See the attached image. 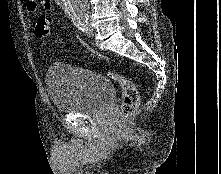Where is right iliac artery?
Here are the masks:
<instances>
[{"mask_svg":"<svg viewBox=\"0 0 221 174\" xmlns=\"http://www.w3.org/2000/svg\"><path fill=\"white\" fill-rule=\"evenodd\" d=\"M73 23H74V25H75L76 27H78L79 29L82 30L83 27H84L85 21L74 20Z\"/></svg>","mask_w":221,"mask_h":174,"instance_id":"right-iliac-artery-1","label":"right iliac artery"}]
</instances>
